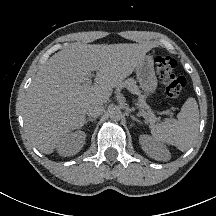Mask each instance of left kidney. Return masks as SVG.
I'll return each mask as SVG.
<instances>
[{
	"label": "left kidney",
	"mask_w": 216,
	"mask_h": 216,
	"mask_svg": "<svg viewBox=\"0 0 216 216\" xmlns=\"http://www.w3.org/2000/svg\"><path fill=\"white\" fill-rule=\"evenodd\" d=\"M139 142L147 155L155 160L166 161L170 157L169 150L158 140L148 135H141Z\"/></svg>",
	"instance_id": "obj_1"
}]
</instances>
